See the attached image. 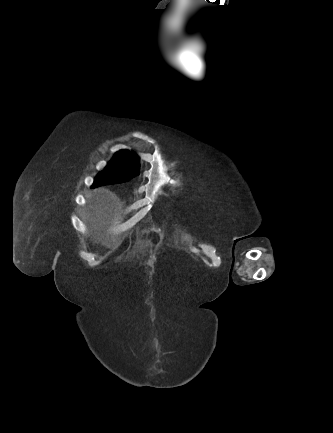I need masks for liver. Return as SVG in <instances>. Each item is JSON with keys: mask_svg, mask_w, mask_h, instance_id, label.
<instances>
[{"mask_svg": "<svg viewBox=\"0 0 333 433\" xmlns=\"http://www.w3.org/2000/svg\"><path fill=\"white\" fill-rule=\"evenodd\" d=\"M87 206L83 220L93 233L107 248H118L121 238L109 236L108 231L112 228L115 219L120 215L125 202L114 192L101 187L94 189L87 197ZM128 223L124 224L127 226Z\"/></svg>", "mask_w": 333, "mask_h": 433, "instance_id": "6515ba94", "label": "liver"}]
</instances>
